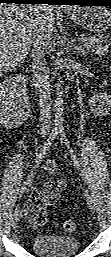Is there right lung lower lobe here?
Segmentation results:
<instances>
[{
	"instance_id": "1",
	"label": "right lung lower lobe",
	"mask_w": 111,
	"mask_h": 257,
	"mask_svg": "<svg viewBox=\"0 0 111 257\" xmlns=\"http://www.w3.org/2000/svg\"><path fill=\"white\" fill-rule=\"evenodd\" d=\"M53 0H0V3H17V4H52Z\"/></svg>"
}]
</instances>
